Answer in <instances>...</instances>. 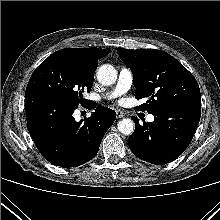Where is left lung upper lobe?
<instances>
[{
	"mask_svg": "<svg viewBox=\"0 0 220 220\" xmlns=\"http://www.w3.org/2000/svg\"><path fill=\"white\" fill-rule=\"evenodd\" d=\"M132 70L136 97L148 98L138 107L153 113L160 108L183 103H201L194 76L170 54L155 49L117 50Z\"/></svg>",
	"mask_w": 220,
	"mask_h": 220,
	"instance_id": "1",
	"label": "left lung upper lobe"
}]
</instances>
